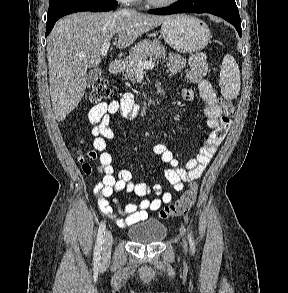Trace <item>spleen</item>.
<instances>
[{"label": "spleen", "instance_id": "3e777b00", "mask_svg": "<svg viewBox=\"0 0 288 293\" xmlns=\"http://www.w3.org/2000/svg\"><path fill=\"white\" fill-rule=\"evenodd\" d=\"M221 94L226 99H236L240 91V71L235 59L225 55L220 71Z\"/></svg>", "mask_w": 288, "mask_h": 293}]
</instances>
